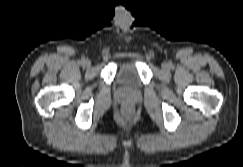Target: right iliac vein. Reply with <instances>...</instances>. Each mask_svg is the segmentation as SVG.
<instances>
[{
    "mask_svg": "<svg viewBox=\"0 0 243 167\" xmlns=\"http://www.w3.org/2000/svg\"><path fill=\"white\" fill-rule=\"evenodd\" d=\"M83 66L89 68V67L91 66V62H90L89 60H85V61L83 62Z\"/></svg>",
    "mask_w": 243,
    "mask_h": 167,
    "instance_id": "63e3f726",
    "label": "right iliac vein"
}]
</instances>
